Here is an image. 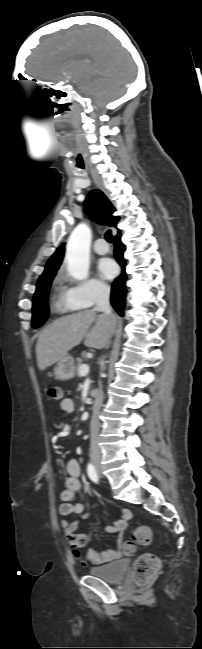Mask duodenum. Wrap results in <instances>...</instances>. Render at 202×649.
<instances>
[{
    "label": "duodenum",
    "mask_w": 202,
    "mask_h": 649,
    "mask_svg": "<svg viewBox=\"0 0 202 649\" xmlns=\"http://www.w3.org/2000/svg\"><path fill=\"white\" fill-rule=\"evenodd\" d=\"M90 395L93 399H98L99 398V392L97 390H91Z\"/></svg>",
    "instance_id": "410a0bca"
}]
</instances>
